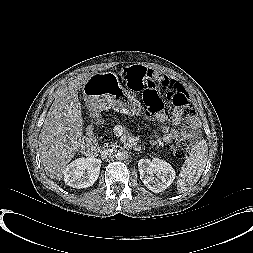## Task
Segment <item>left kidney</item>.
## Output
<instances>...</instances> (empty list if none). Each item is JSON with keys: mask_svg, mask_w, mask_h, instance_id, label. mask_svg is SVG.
<instances>
[{"mask_svg": "<svg viewBox=\"0 0 253 253\" xmlns=\"http://www.w3.org/2000/svg\"><path fill=\"white\" fill-rule=\"evenodd\" d=\"M140 179L152 192L159 193L169 187L175 179L173 167L166 161L153 158L140 159L138 162Z\"/></svg>", "mask_w": 253, "mask_h": 253, "instance_id": "obj_1", "label": "left kidney"}]
</instances>
